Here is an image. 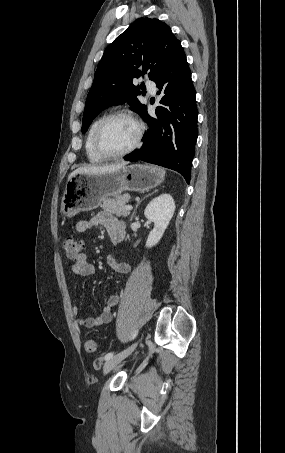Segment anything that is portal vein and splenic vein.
Here are the masks:
<instances>
[{
    "mask_svg": "<svg viewBox=\"0 0 285 453\" xmlns=\"http://www.w3.org/2000/svg\"><path fill=\"white\" fill-rule=\"evenodd\" d=\"M125 208H126L127 210H132L133 207H132L131 205H126Z\"/></svg>",
    "mask_w": 285,
    "mask_h": 453,
    "instance_id": "obj_1",
    "label": "portal vein and splenic vein"
}]
</instances>
